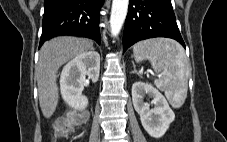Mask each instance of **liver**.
<instances>
[{
  "label": "liver",
  "instance_id": "liver-1",
  "mask_svg": "<svg viewBox=\"0 0 227 142\" xmlns=\"http://www.w3.org/2000/svg\"><path fill=\"white\" fill-rule=\"evenodd\" d=\"M93 49V42L86 38L61 36L43 44L35 70L39 103L45 118H50L56 110L59 90L57 72L72 58Z\"/></svg>",
  "mask_w": 227,
  "mask_h": 142
}]
</instances>
